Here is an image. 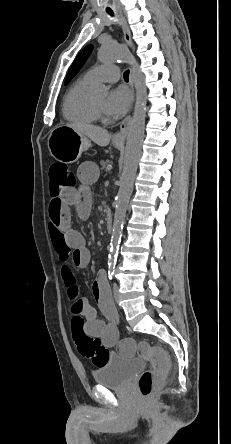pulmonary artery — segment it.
<instances>
[{"label":"pulmonary artery","instance_id":"e3ab8cb5","mask_svg":"<svg viewBox=\"0 0 231 444\" xmlns=\"http://www.w3.org/2000/svg\"><path fill=\"white\" fill-rule=\"evenodd\" d=\"M119 68L114 64H103L91 68L85 74V78L92 83L115 82L119 79Z\"/></svg>","mask_w":231,"mask_h":444}]
</instances>
